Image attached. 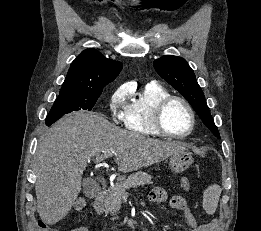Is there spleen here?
<instances>
[{
	"label": "spleen",
	"instance_id": "3e777b00",
	"mask_svg": "<svg viewBox=\"0 0 261 231\" xmlns=\"http://www.w3.org/2000/svg\"><path fill=\"white\" fill-rule=\"evenodd\" d=\"M221 188L214 184L209 186L203 193V208L207 214H213L218 206Z\"/></svg>",
	"mask_w": 261,
	"mask_h": 231
}]
</instances>
